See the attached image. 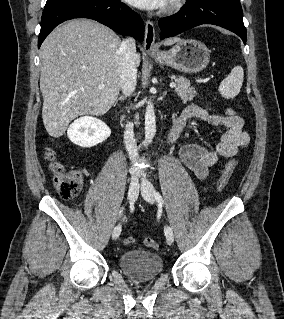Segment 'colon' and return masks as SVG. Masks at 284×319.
<instances>
[{"mask_svg": "<svg viewBox=\"0 0 284 319\" xmlns=\"http://www.w3.org/2000/svg\"><path fill=\"white\" fill-rule=\"evenodd\" d=\"M226 115L229 117L236 116V112L228 108ZM46 158L50 162V170L53 176L54 186L63 199L75 198L82 190L83 177L80 172H67L63 165L55 160V154L52 148H47ZM237 165L236 160H230L224 166L217 183V189L222 191L228 184L234 169ZM134 238L128 237L124 240L125 245H131L134 243ZM144 245L148 248L157 250L158 244L152 238H145Z\"/></svg>", "mask_w": 284, "mask_h": 319, "instance_id": "1", "label": "colon"}]
</instances>
